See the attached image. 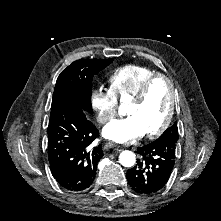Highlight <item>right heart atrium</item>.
Returning <instances> with one entry per match:
<instances>
[{"label": "right heart atrium", "instance_id": "1", "mask_svg": "<svg viewBox=\"0 0 221 221\" xmlns=\"http://www.w3.org/2000/svg\"><path fill=\"white\" fill-rule=\"evenodd\" d=\"M91 104L100 124H107L117 114L118 99L110 89H95L91 95Z\"/></svg>", "mask_w": 221, "mask_h": 221}]
</instances>
